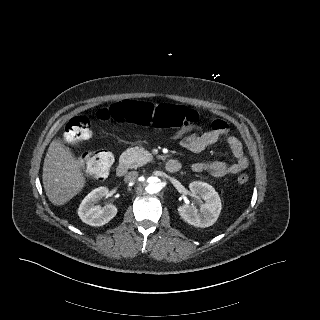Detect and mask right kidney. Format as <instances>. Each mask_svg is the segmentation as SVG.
<instances>
[{"label":"right kidney","mask_w":320,"mask_h":320,"mask_svg":"<svg viewBox=\"0 0 320 320\" xmlns=\"http://www.w3.org/2000/svg\"><path fill=\"white\" fill-rule=\"evenodd\" d=\"M109 189L101 186L92 190L81 202L78 208L80 219L90 226H103L117 214L114 205L107 204L104 207L96 205L103 197L108 196Z\"/></svg>","instance_id":"1"}]
</instances>
